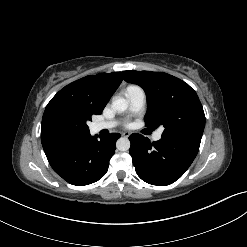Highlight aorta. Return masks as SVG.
I'll return each instance as SVG.
<instances>
[{"mask_svg": "<svg viewBox=\"0 0 247 247\" xmlns=\"http://www.w3.org/2000/svg\"><path fill=\"white\" fill-rule=\"evenodd\" d=\"M112 107L119 112H123L128 108V101L122 97L115 98L112 102ZM116 147L120 151L129 150L130 148L129 139L126 137L119 138L116 142Z\"/></svg>", "mask_w": 247, "mask_h": 247, "instance_id": "aorta-1", "label": "aorta"}]
</instances>
